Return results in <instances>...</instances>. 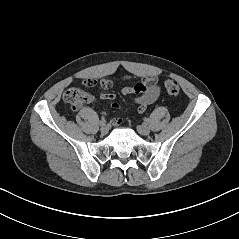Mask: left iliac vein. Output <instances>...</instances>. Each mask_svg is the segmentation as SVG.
<instances>
[{
	"mask_svg": "<svg viewBox=\"0 0 239 239\" xmlns=\"http://www.w3.org/2000/svg\"><path fill=\"white\" fill-rule=\"evenodd\" d=\"M137 131L141 134V135H149L150 133V128L146 125H139L137 126Z\"/></svg>",
	"mask_w": 239,
	"mask_h": 239,
	"instance_id": "1",
	"label": "left iliac vein"
}]
</instances>
